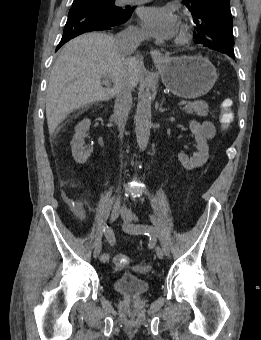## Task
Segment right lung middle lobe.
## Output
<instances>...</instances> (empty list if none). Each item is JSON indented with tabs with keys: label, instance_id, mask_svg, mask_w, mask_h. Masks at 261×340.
<instances>
[{
	"label": "right lung middle lobe",
	"instance_id": "dd1d6c3e",
	"mask_svg": "<svg viewBox=\"0 0 261 340\" xmlns=\"http://www.w3.org/2000/svg\"><path fill=\"white\" fill-rule=\"evenodd\" d=\"M114 2L115 0H91V1L81 2V3H73L72 6L87 5V6L98 7L106 13H113L116 15L127 14L126 13L128 11L127 8L117 7L115 6Z\"/></svg>",
	"mask_w": 261,
	"mask_h": 340
}]
</instances>
